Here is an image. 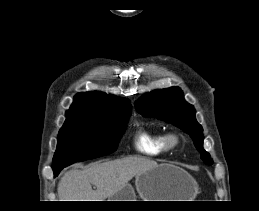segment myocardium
<instances>
[{"instance_id": "myocardium-1", "label": "myocardium", "mask_w": 259, "mask_h": 211, "mask_svg": "<svg viewBox=\"0 0 259 211\" xmlns=\"http://www.w3.org/2000/svg\"><path fill=\"white\" fill-rule=\"evenodd\" d=\"M167 143L170 149L178 148L181 144V138L177 133L167 134Z\"/></svg>"}]
</instances>
